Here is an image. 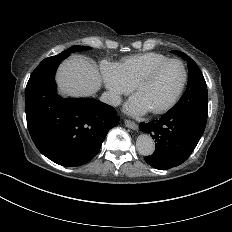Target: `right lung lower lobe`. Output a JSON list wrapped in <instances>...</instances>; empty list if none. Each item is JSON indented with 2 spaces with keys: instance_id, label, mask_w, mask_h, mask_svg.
I'll return each mask as SVG.
<instances>
[{
  "instance_id": "1",
  "label": "right lung lower lobe",
  "mask_w": 232,
  "mask_h": 232,
  "mask_svg": "<svg viewBox=\"0 0 232 232\" xmlns=\"http://www.w3.org/2000/svg\"><path fill=\"white\" fill-rule=\"evenodd\" d=\"M68 56L46 58L33 71L25 90V110L38 150L59 165L76 167L98 153L119 116L98 100L62 98L56 93L55 72Z\"/></svg>"
}]
</instances>
